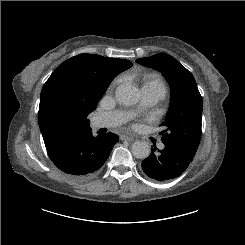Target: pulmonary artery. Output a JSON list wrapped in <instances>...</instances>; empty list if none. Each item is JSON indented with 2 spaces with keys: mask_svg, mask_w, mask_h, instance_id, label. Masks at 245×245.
Here are the masks:
<instances>
[{
  "mask_svg": "<svg viewBox=\"0 0 245 245\" xmlns=\"http://www.w3.org/2000/svg\"><path fill=\"white\" fill-rule=\"evenodd\" d=\"M162 95L142 90V106H153L162 99ZM132 117L130 111L118 110L112 112L100 113L95 118V126L98 128H109L124 124ZM160 148H164V144L159 145Z\"/></svg>",
  "mask_w": 245,
  "mask_h": 245,
  "instance_id": "1",
  "label": "pulmonary artery"
}]
</instances>
